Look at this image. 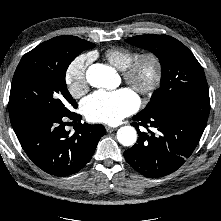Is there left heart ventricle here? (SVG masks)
<instances>
[{"mask_svg":"<svg viewBox=\"0 0 221 221\" xmlns=\"http://www.w3.org/2000/svg\"><path fill=\"white\" fill-rule=\"evenodd\" d=\"M152 76V65L149 62H146L140 71V79L143 82H147L151 79Z\"/></svg>","mask_w":221,"mask_h":221,"instance_id":"left-heart-ventricle-1","label":"left heart ventricle"}]
</instances>
